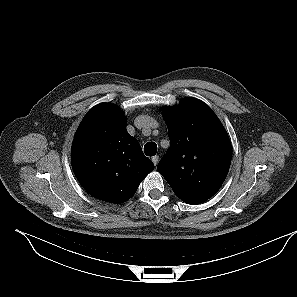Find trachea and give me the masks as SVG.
<instances>
[{
    "label": "trachea",
    "mask_w": 297,
    "mask_h": 297,
    "mask_svg": "<svg viewBox=\"0 0 297 297\" xmlns=\"http://www.w3.org/2000/svg\"><path fill=\"white\" fill-rule=\"evenodd\" d=\"M144 153L147 156H154L157 153V145L154 142H148L144 146Z\"/></svg>",
    "instance_id": "trachea-1"
}]
</instances>
